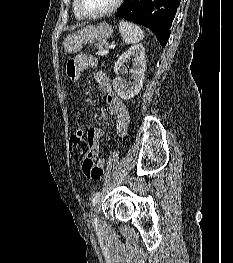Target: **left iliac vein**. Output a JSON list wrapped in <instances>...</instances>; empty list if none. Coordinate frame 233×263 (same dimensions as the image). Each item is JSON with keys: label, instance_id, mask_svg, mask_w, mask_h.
I'll use <instances>...</instances> for the list:
<instances>
[{"label": "left iliac vein", "instance_id": "4c4485c4", "mask_svg": "<svg viewBox=\"0 0 233 263\" xmlns=\"http://www.w3.org/2000/svg\"><path fill=\"white\" fill-rule=\"evenodd\" d=\"M92 218L95 219L97 218L98 219V208L97 206L94 207L93 211H92Z\"/></svg>", "mask_w": 233, "mask_h": 263}]
</instances>
